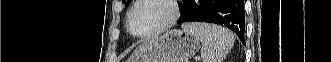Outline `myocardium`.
I'll use <instances>...</instances> for the list:
<instances>
[{
	"label": "myocardium",
	"instance_id": "1",
	"mask_svg": "<svg viewBox=\"0 0 331 62\" xmlns=\"http://www.w3.org/2000/svg\"><path fill=\"white\" fill-rule=\"evenodd\" d=\"M146 1H149V0H137V1H135L134 4L132 5V7L130 8V10L128 11V14H127V21H126L127 30L132 36H134L136 38H141V39L149 38L151 36H154L156 34H159L163 31L167 30L168 28H170L177 21L179 15H180L179 5H178V2L176 0H162L166 4H168L169 8L171 9V14L167 18V20L164 23H162L160 26H158L157 28H154V29H152V30H150L146 33L136 34L132 30V25H131L132 14L140 4H142L143 2H146Z\"/></svg>",
	"mask_w": 331,
	"mask_h": 62
}]
</instances>
